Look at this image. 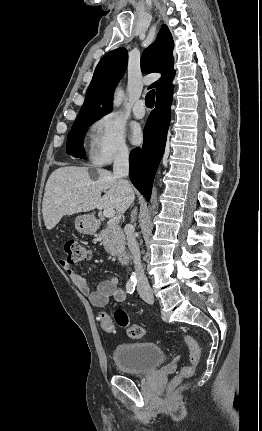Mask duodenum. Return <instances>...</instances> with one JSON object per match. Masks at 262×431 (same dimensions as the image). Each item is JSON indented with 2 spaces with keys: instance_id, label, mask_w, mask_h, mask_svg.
I'll use <instances>...</instances> for the list:
<instances>
[{
  "instance_id": "duodenum-1",
  "label": "duodenum",
  "mask_w": 262,
  "mask_h": 431,
  "mask_svg": "<svg viewBox=\"0 0 262 431\" xmlns=\"http://www.w3.org/2000/svg\"><path fill=\"white\" fill-rule=\"evenodd\" d=\"M117 261L119 264H122V265L128 264L130 261V256L128 252L126 251L119 252L117 254Z\"/></svg>"
}]
</instances>
